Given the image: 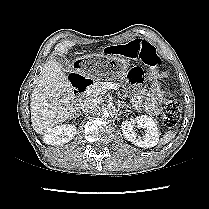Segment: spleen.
Masks as SVG:
<instances>
[{"label":"spleen","mask_w":209,"mask_h":209,"mask_svg":"<svg viewBox=\"0 0 209 209\" xmlns=\"http://www.w3.org/2000/svg\"><path fill=\"white\" fill-rule=\"evenodd\" d=\"M175 136H176V132L170 130L169 132H167V133L164 135L163 139L161 140V144H162V145L167 144V143L170 142Z\"/></svg>","instance_id":"obj_1"}]
</instances>
